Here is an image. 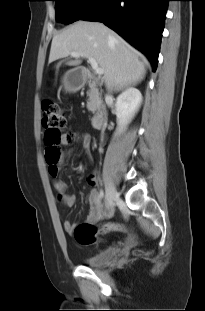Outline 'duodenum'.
Instances as JSON below:
<instances>
[{
  "mask_svg": "<svg viewBox=\"0 0 205 311\" xmlns=\"http://www.w3.org/2000/svg\"><path fill=\"white\" fill-rule=\"evenodd\" d=\"M76 76L80 79V84L83 85H94L99 82L98 78L91 75L88 69L85 67L78 68L76 71ZM106 116L107 112L105 108H99L92 117V124L94 126L100 125L106 119Z\"/></svg>",
  "mask_w": 205,
  "mask_h": 311,
  "instance_id": "1",
  "label": "duodenum"
}]
</instances>
